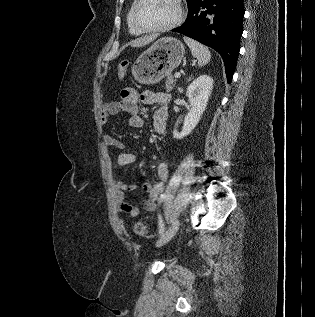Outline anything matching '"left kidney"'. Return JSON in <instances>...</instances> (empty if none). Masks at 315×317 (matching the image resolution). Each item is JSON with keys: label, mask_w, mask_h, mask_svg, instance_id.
Listing matches in <instances>:
<instances>
[{"label": "left kidney", "mask_w": 315, "mask_h": 317, "mask_svg": "<svg viewBox=\"0 0 315 317\" xmlns=\"http://www.w3.org/2000/svg\"><path fill=\"white\" fill-rule=\"evenodd\" d=\"M212 89L213 79L209 75L199 76L188 86L186 95L191 109L185 116L182 131H173L174 138L182 139L196 127L205 111Z\"/></svg>", "instance_id": "1"}]
</instances>
